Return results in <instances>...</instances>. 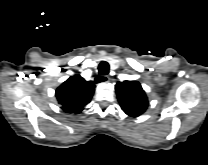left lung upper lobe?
<instances>
[{
    "label": "left lung upper lobe",
    "instance_id": "left-lung-upper-lobe-1",
    "mask_svg": "<svg viewBox=\"0 0 208 165\" xmlns=\"http://www.w3.org/2000/svg\"><path fill=\"white\" fill-rule=\"evenodd\" d=\"M115 89L120 106L127 115L138 117L146 111L148 99L139 82H118Z\"/></svg>",
    "mask_w": 208,
    "mask_h": 165
}]
</instances>
